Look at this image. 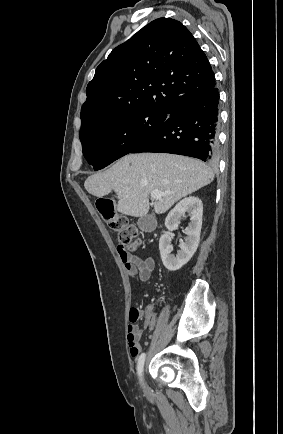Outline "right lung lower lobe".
Wrapping results in <instances>:
<instances>
[{"mask_svg":"<svg viewBox=\"0 0 283 434\" xmlns=\"http://www.w3.org/2000/svg\"><path fill=\"white\" fill-rule=\"evenodd\" d=\"M218 90L182 103L130 153L164 152L214 162L217 157Z\"/></svg>","mask_w":283,"mask_h":434,"instance_id":"1","label":"right lung lower lobe"}]
</instances>
